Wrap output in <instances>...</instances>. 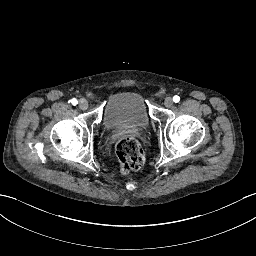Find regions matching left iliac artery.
I'll return each mask as SVG.
<instances>
[{
	"instance_id": "44dca946",
	"label": "left iliac artery",
	"mask_w": 256,
	"mask_h": 256,
	"mask_svg": "<svg viewBox=\"0 0 256 256\" xmlns=\"http://www.w3.org/2000/svg\"><path fill=\"white\" fill-rule=\"evenodd\" d=\"M173 101H174L175 103H178V102L180 101V97L177 96V95H175V96L173 97Z\"/></svg>"
}]
</instances>
